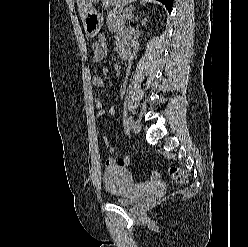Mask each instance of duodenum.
<instances>
[{
  "label": "duodenum",
  "instance_id": "duodenum-1",
  "mask_svg": "<svg viewBox=\"0 0 248 247\" xmlns=\"http://www.w3.org/2000/svg\"><path fill=\"white\" fill-rule=\"evenodd\" d=\"M121 58L124 62L128 60L129 56H128L127 51L124 50L121 52Z\"/></svg>",
  "mask_w": 248,
  "mask_h": 247
}]
</instances>
